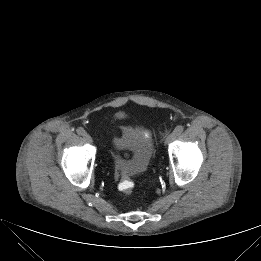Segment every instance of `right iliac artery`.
Here are the masks:
<instances>
[{
    "label": "right iliac artery",
    "mask_w": 261,
    "mask_h": 261,
    "mask_svg": "<svg viewBox=\"0 0 261 261\" xmlns=\"http://www.w3.org/2000/svg\"><path fill=\"white\" fill-rule=\"evenodd\" d=\"M77 133L79 134V135H84L86 132H85V130H84V128H82V127H78L77 128Z\"/></svg>",
    "instance_id": "right-iliac-artery-1"
}]
</instances>
